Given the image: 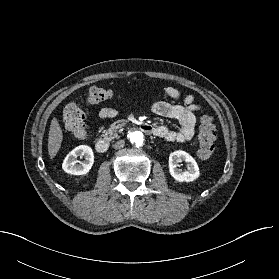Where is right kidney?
<instances>
[{"instance_id": "right-kidney-1", "label": "right kidney", "mask_w": 279, "mask_h": 279, "mask_svg": "<svg viewBox=\"0 0 279 279\" xmlns=\"http://www.w3.org/2000/svg\"><path fill=\"white\" fill-rule=\"evenodd\" d=\"M80 156L85 157V161L77 164L76 158ZM94 163V154L91 147L80 145L73 149L64 159L62 168L66 173L72 175H85L87 174Z\"/></svg>"}]
</instances>
